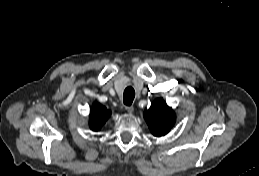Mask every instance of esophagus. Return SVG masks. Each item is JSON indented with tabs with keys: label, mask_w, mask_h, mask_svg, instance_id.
Listing matches in <instances>:
<instances>
[{
	"label": "esophagus",
	"mask_w": 259,
	"mask_h": 176,
	"mask_svg": "<svg viewBox=\"0 0 259 176\" xmlns=\"http://www.w3.org/2000/svg\"><path fill=\"white\" fill-rule=\"evenodd\" d=\"M126 110L128 111V113H132L134 111V107L133 106H126Z\"/></svg>",
	"instance_id": "obj_1"
}]
</instances>
